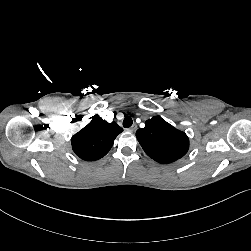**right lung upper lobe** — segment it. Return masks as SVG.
Here are the masks:
<instances>
[{"label":"right lung upper lobe","instance_id":"right-lung-upper-lobe-1","mask_svg":"<svg viewBox=\"0 0 251 251\" xmlns=\"http://www.w3.org/2000/svg\"><path fill=\"white\" fill-rule=\"evenodd\" d=\"M122 131L116 122L108 123L99 116H94L88 125L73 135V151L83 160H98L108 153Z\"/></svg>","mask_w":251,"mask_h":251}]
</instances>
